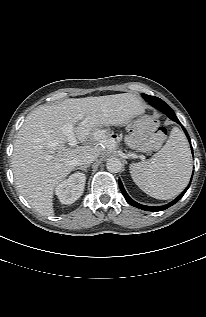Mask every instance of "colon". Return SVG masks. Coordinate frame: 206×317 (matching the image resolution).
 <instances>
[{
  "mask_svg": "<svg viewBox=\"0 0 206 317\" xmlns=\"http://www.w3.org/2000/svg\"><path fill=\"white\" fill-rule=\"evenodd\" d=\"M142 124L152 132L151 144L155 147L160 145L167 135L166 127L160 125L158 121L151 117H145Z\"/></svg>",
  "mask_w": 206,
  "mask_h": 317,
  "instance_id": "1",
  "label": "colon"
}]
</instances>
